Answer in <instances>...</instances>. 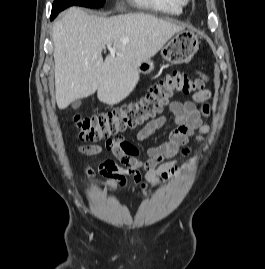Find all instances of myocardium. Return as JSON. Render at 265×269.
Listing matches in <instances>:
<instances>
[{
	"instance_id": "1",
	"label": "myocardium",
	"mask_w": 265,
	"mask_h": 269,
	"mask_svg": "<svg viewBox=\"0 0 265 269\" xmlns=\"http://www.w3.org/2000/svg\"><path fill=\"white\" fill-rule=\"evenodd\" d=\"M179 1L183 6L190 2V0H179Z\"/></svg>"
}]
</instances>
